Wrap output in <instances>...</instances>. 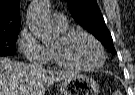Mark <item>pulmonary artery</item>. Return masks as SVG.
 Listing matches in <instances>:
<instances>
[{
    "label": "pulmonary artery",
    "instance_id": "obj_1",
    "mask_svg": "<svg viewBox=\"0 0 135 95\" xmlns=\"http://www.w3.org/2000/svg\"><path fill=\"white\" fill-rule=\"evenodd\" d=\"M52 24L55 27H60V28L66 27L67 21L65 15L62 13H54L52 16Z\"/></svg>",
    "mask_w": 135,
    "mask_h": 95
}]
</instances>
